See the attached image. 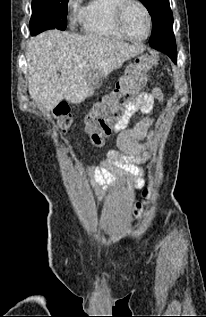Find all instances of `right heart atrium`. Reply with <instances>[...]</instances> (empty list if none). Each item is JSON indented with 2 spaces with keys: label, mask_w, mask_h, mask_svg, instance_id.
Returning a JSON list of instances; mask_svg holds the SVG:
<instances>
[{
  "label": "right heart atrium",
  "mask_w": 206,
  "mask_h": 317,
  "mask_svg": "<svg viewBox=\"0 0 206 317\" xmlns=\"http://www.w3.org/2000/svg\"><path fill=\"white\" fill-rule=\"evenodd\" d=\"M81 0H69L68 7L74 9L79 6Z\"/></svg>",
  "instance_id": "right-heart-atrium-1"
}]
</instances>
